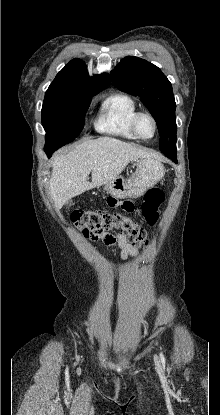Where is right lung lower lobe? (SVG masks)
I'll list each match as a JSON object with an SVG mask.
<instances>
[{"label":"right lung lower lobe","mask_w":220,"mask_h":415,"mask_svg":"<svg viewBox=\"0 0 220 415\" xmlns=\"http://www.w3.org/2000/svg\"><path fill=\"white\" fill-rule=\"evenodd\" d=\"M56 149H45V153L47 154L48 157L51 156V154L55 151Z\"/></svg>","instance_id":"98d812e1"}]
</instances>
